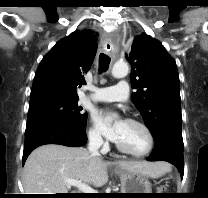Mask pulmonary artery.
Masks as SVG:
<instances>
[{
	"label": "pulmonary artery",
	"instance_id": "pulmonary-artery-1",
	"mask_svg": "<svg viewBox=\"0 0 208 198\" xmlns=\"http://www.w3.org/2000/svg\"><path fill=\"white\" fill-rule=\"evenodd\" d=\"M94 91L88 99L97 102H125L129 97V86L126 81H120L115 86L95 88Z\"/></svg>",
	"mask_w": 208,
	"mask_h": 198
}]
</instances>
